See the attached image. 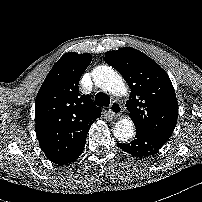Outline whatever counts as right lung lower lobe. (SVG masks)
Segmentation results:
<instances>
[{
	"instance_id": "98d812e1",
	"label": "right lung lower lobe",
	"mask_w": 202,
	"mask_h": 202,
	"mask_svg": "<svg viewBox=\"0 0 202 202\" xmlns=\"http://www.w3.org/2000/svg\"><path fill=\"white\" fill-rule=\"evenodd\" d=\"M90 126L91 125H89L88 129L86 130L85 135L83 136V139L81 140L79 145L75 148V150L68 156L62 158L61 160L63 162L57 161V162H55L56 164H59V165L69 164V163L75 161L82 154V152L84 150L85 142H86V136H87Z\"/></svg>"
}]
</instances>
